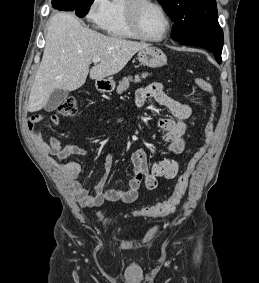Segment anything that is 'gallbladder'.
Segmentation results:
<instances>
[{"mask_svg": "<svg viewBox=\"0 0 259 283\" xmlns=\"http://www.w3.org/2000/svg\"><path fill=\"white\" fill-rule=\"evenodd\" d=\"M68 91L65 90H55L50 95L44 109L47 112L54 111L58 108V106L68 97Z\"/></svg>", "mask_w": 259, "mask_h": 283, "instance_id": "gallbladder-1", "label": "gallbladder"}]
</instances>
